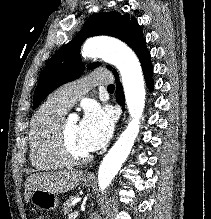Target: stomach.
<instances>
[{
	"mask_svg": "<svg viewBox=\"0 0 211 219\" xmlns=\"http://www.w3.org/2000/svg\"><path fill=\"white\" fill-rule=\"evenodd\" d=\"M81 180L85 186H88L91 183V180L86 177H83ZM29 200L34 205V207L44 211L55 210L59 205L57 195L45 190L33 191Z\"/></svg>",
	"mask_w": 211,
	"mask_h": 219,
	"instance_id": "obj_1",
	"label": "stomach"
}]
</instances>
